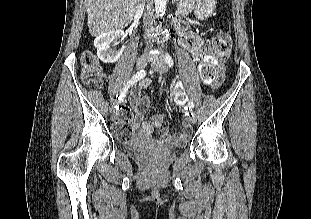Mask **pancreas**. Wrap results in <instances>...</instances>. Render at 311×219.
Wrapping results in <instances>:
<instances>
[{
  "instance_id": "obj_1",
  "label": "pancreas",
  "mask_w": 311,
  "mask_h": 219,
  "mask_svg": "<svg viewBox=\"0 0 311 219\" xmlns=\"http://www.w3.org/2000/svg\"><path fill=\"white\" fill-rule=\"evenodd\" d=\"M194 3H195V0H183L180 3V6L181 7H185L188 10H192V9H194Z\"/></svg>"
}]
</instances>
